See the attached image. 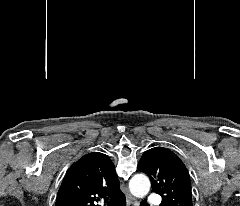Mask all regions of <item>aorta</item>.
<instances>
[{"label":"aorta","mask_w":240,"mask_h":206,"mask_svg":"<svg viewBox=\"0 0 240 206\" xmlns=\"http://www.w3.org/2000/svg\"><path fill=\"white\" fill-rule=\"evenodd\" d=\"M151 184L147 176L143 174L134 175L129 182V189L133 196L142 198L150 190Z\"/></svg>","instance_id":"762f6f07"}]
</instances>
